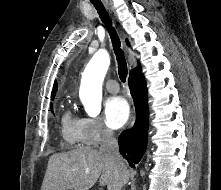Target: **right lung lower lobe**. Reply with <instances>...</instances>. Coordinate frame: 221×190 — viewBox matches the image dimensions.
Here are the masks:
<instances>
[{
  "mask_svg": "<svg viewBox=\"0 0 221 190\" xmlns=\"http://www.w3.org/2000/svg\"><path fill=\"white\" fill-rule=\"evenodd\" d=\"M129 87L135 104L136 122L132 129L121 133L118 143L120 153L134 168L145 152L148 135L147 88L142 73L129 77Z\"/></svg>",
  "mask_w": 221,
  "mask_h": 190,
  "instance_id": "obj_1",
  "label": "right lung lower lobe"
}]
</instances>
